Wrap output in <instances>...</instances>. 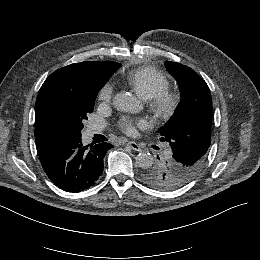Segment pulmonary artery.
Returning <instances> with one entry per match:
<instances>
[{
  "instance_id": "e3ab8cb5",
  "label": "pulmonary artery",
  "mask_w": 260,
  "mask_h": 260,
  "mask_svg": "<svg viewBox=\"0 0 260 260\" xmlns=\"http://www.w3.org/2000/svg\"><path fill=\"white\" fill-rule=\"evenodd\" d=\"M102 131V127L97 124H88L86 129V136L88 139L92 138L94 134H97Z\"/></svg>"
}]
</instances>
